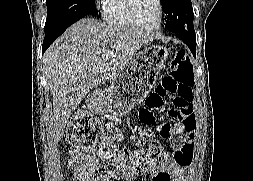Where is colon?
<instances>
[{
	"instance_id": "colon-1",
	"label": "colon",
	"mask_w": 253,
	"mask_h": 181,
	"mask_svg": "<svg viewBox=\"0 0 253 181\" xmlns=\"http://www.w3.org/2000/svg\"><path fill=\"white\" fill-rule=\"evenodd\" d=\"M169 55H175L172 72L164 76L156 90L147 97L145 106L139 113L143 125L156 123V114L166 100L172 103L169 111L171 118L184 122L190 116L195 83L191 62L186 50H169ZM156 131L164 138L172 135L171 127L167 123L157 124ZM141 136L148 141L145 150L130 151L127 148H119L106 139L97 118L83 111L74 115L67 132L71 146L100 154L109 162L136 171H144L167 160V152L158 140L152 139L149 131H142Z\"/></svg>"
}]
</instances>
